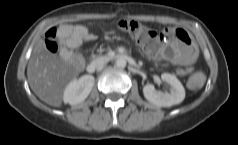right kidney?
Returning <instances> with one entry per match:
<instances>
[{
	"mask_svg": "<svg viewBox=\"0 0 238 145\" xmlns=\"http://www.w3.org/2000/svg\"><path fill=\"white\" fill-rule=\"evenodd\" d=\"M95 79L92 75H84L79 79H74L65 88L63 101L70 105L82 103L90 94Z\"/></svg>",
	"mask_w": 238,
	"mask_h": 145,
	"instance_id": "right-kidney-1",
	"label": "right kidney"
}]
</instances>
